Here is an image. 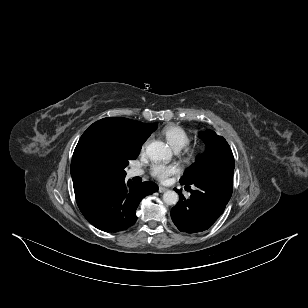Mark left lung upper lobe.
Segmentation results:
<instances>
[{
	"mask_svg": "<svg viewBox=\"0 0 308 308\" xmlns=\"http://www.w3.org/2000/svg\"><path fill=\"white\" fill-rule=\"evenodd\" d=\"M199 135L205 141L207 150L204 154L198 156L196 163L185 171L180 183L191 184L201 176L217 169H234L235 167L231 148L222 136H218L212 130L201 132Z\"/></svg>",
	"mask_w": 308,
	"mask_h": 308,
	"instance_id": "5c2ea615",
	"label": "left lung upper lobe"
}]
</instances>
